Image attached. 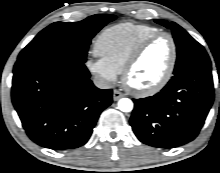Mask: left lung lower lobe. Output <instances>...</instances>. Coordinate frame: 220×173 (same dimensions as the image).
Returning <instances> with one entry per match:
<instances>
[{
  "mask_svg": "<svg viewBox=\"0 0 220 173\" xmlns=\"http://www.w3.org/2000/svg\"><path fill=\"white\" fill-rule=\"evenodd\" d=\"M214 100L211 66L175 74L158 94L133 99L130 124L138 139L170 149L196 138Z\"/></svg>",
  "mask_w": 220,
  "mask_h": 173,
  "instance_id": "obj_1",
  "label": "left lung lower lobe"
}]
</instances>
